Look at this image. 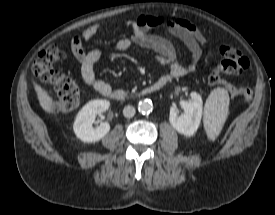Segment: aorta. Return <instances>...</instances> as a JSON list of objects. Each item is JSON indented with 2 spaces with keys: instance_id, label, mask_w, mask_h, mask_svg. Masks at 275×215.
Instances as JSON below:
<instances>
[{
  "instance_id": "762f6f07",
  "label": "aorta",
  "mask_w": 275,
  "mask_h": 215,
  "mask_svg": "<svg viewBox=\"0 0 275 215\" xmlns=\"http://www.w3.org/2000/svg\"><path fill=\"white\" fill-rule=\"evenodd\" d=\"M138 111L142 114H149L153 111V104L150 100H142L138 103Z\"/></svg>"
}]
</instances>
